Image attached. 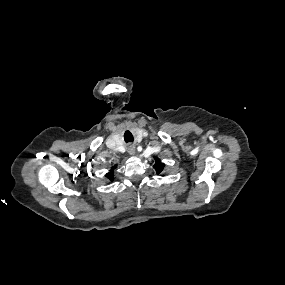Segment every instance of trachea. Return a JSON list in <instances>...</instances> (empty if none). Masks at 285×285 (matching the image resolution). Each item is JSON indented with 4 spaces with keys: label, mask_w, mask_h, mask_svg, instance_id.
<instances>
[{
    "label": "trachea",
    "mask_w": 285,
    "mask_h": 285,
    "mask_svg": "<svg viewBox=\"0 0 285 285\" xmlns=\"http://www.w3.org/2000/svg\"><path fill=\"white\" fill-rule=\"evenodd\" d=\"M124 140L126 143H129V142H133L134 141V138H133V135L131 134L130 131H126L124 133Z\"/></svg>",
    "instance_id": "obj_1"
}]
</instances>
